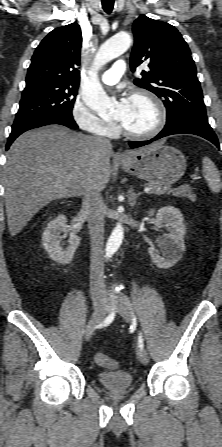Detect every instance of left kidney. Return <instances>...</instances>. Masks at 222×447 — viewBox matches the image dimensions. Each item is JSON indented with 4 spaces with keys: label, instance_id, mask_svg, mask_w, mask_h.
Wrapping results in <instances>:
<instances>
[{
    "label": "left kidney",
    "instance_id": "left-kidney-1",
    "mask_svg": "<svg viewBox=\"0 0 222 447\" xmlns=\"http://www.w3.org/2000/svg\"><path fill=\"white\" fill-rule=\"evenodd\" d=\"M154 213L153 209L148 212L149 216H153ZM183 220L181 211L173 206L162 207L156 213L155 225L165 227L169 232L158 239V246L162 251V256L156 252L154 247H150L148 250L152 262L158 268H170L181 259L185 251L184 235L186 228Z\"/></svg>",
    "mask_w": 222,
    "mask_h": 447
}]
</instances>
